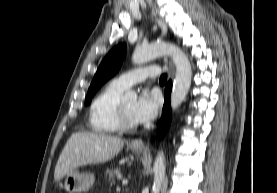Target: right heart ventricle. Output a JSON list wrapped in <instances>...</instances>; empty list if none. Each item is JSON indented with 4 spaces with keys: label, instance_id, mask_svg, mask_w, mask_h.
<instances>
[{
    "label": "right heart ventricle",
    "instance_id": "1",
    "mask_svg": "<svg viewBox=\"0 0 277 193\" xmlns=\"http://www.w3.org/2000/svg\"><path fill=\"white\" fill-rule=\"evenodd\" d=\"M123 91L110 82L93 99L88 117L91 131L98 134H115L120 131L117 108Z\"/></svg>",
    "mask_w": 277,
    "mask_h": 193
}]
</instances>
